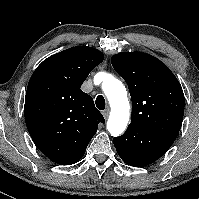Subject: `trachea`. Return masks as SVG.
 I'll list each match as a JSON object with an SVG mask.
<instances>
[{
	"mask_svg": "<svg viewBox=\"0 0 199 199\" xmlns=\"http://www.w3.org/2000/svg\"><path fill=\"white\" fill-rule=\"evenodd\" d=\"M96 106L99 110H104L105 109V106H106V103H105V99L102 95H99L97 98H96Z\"/></svg>",
	"mask_w": 199,
	"mask_h": 199,
	"instance_id": "trachea-1",
	"label": "trachea"
}]
</instances>
